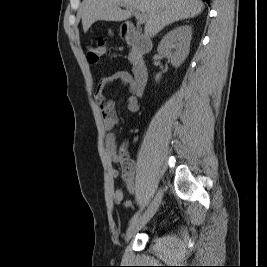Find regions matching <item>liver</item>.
I'll return each instance as SVG.
<instances>
[{"instance_id": "6515ba94", "label": "liver", "mask_w": 267, "mask_h": 267, "mask_svg": "<svg viewBox=\"0 0 267 267\" xmlns=\"http://www.w3.org/2000/svg\"><path fill=\"white\" fill-rule=\"evenodd\" d=\"M117 3L124 4L126 10H121ZM203 8L200 0H83L82 25L86 33L98 20L124 21L137 10L147 16L145 35L153 37L171 23L199 15Z\"/></svg>"}]
</instances>
